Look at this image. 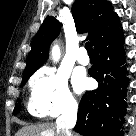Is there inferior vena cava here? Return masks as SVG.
Here are the masks:
<instances>
[{"label": "inferior vena cava", "mask_w": 136, "mask_h": 136, "mask_svg": "<svg viewBox=\"0 0 136 136\" xmlns=\"http://www.w3.org/2000/svg\"><path fill=\"white\" fill-rule=\"evenodd\" d=\"M78 105L70 103L64 109L62 115L56 120L57 131L62 133V136H71L69 129L76 124Z\"/></svg>", "instance_id": "inferior-vena-cava-1"}]
</instances>
